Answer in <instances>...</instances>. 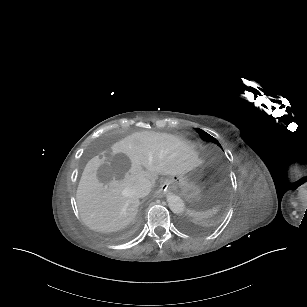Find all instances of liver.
<instances>
[{"mask_svg":"<svg viewBox=\"0 0 307 307\" xmlns=\"http://www.w3.org/2000/svg\"><path fill=\"white\" fill-rule=\"evenodd\" d=\"M202 163L180 137L142 131L114 143L86 164L76 192L81 219L92 230L115 232L135 218L140 204L133 185L142 178L180 175Z\"/></svg>","mask_w":307,"mask_h":307,"instance_id":"1","label":"liver"}]
</instances>
